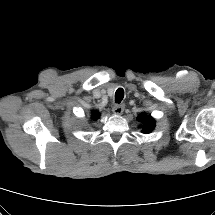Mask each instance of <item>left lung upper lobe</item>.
Segmentation results:
<instances>
[{"label": "left lung upper lobe", "instance_id": "left-lung-upper-lobe-1", "mask_svg": "<svg viewBox=\"0 0 215 215\" xmlns=\"http://www.w3.org/2000/svg\"><path fill=\"white\" fill-rule=\"evenodd\" d=\"M137 120L141 123L143 133H150L155 127V120L146 114H141Z\"/></svg>", "mask_w": 215, "mask_h": 215}]
</instances>
